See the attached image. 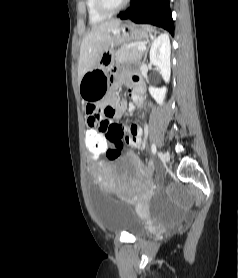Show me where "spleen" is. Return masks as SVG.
<instances>
[{"mask_svg": "<svg viewBox=\"0 0 238 278\" xmlns=\"http://www.w3.org/2000/svg\"><path fill=\"white\" fill-rule=\"evenodd\" d=\"M149 30H152L150 27H147Z\"/></svg>", "mask_w": 238, "mask_h": 278, "instance_id": "3e777b00", "label": "spleen"}]
</instances>
